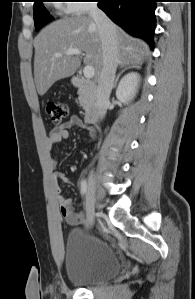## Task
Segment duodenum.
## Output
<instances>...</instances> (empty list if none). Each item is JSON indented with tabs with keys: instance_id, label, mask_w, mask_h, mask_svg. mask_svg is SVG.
<instances>
[{
	"instance_id": "obj_1",
	"label": "duodenum",
	"mask_w": 195,
	"mask_h": 299,
	"mask_svg": "<svg viewBox=\"0 0 195 299\" xmlns=\"http://www.w3.org/2000/svg\"><path fill=\"white\" fill-rule=\"evenodd\" d=\"M73 85L81 91L87 100L84 122L86 124L98 122L103 110V102L98 85L79 76L73 78Z\"/></svg>"
}]
</instances>
